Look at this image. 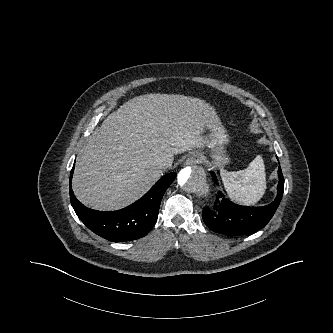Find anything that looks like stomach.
<instances>
[{
  "instance_id": "1",
  "label": "stomach",
  "mask_w": 333,
  "mask_h": 333,
  "mask_svg": "<svg viewBox=\"0 0 333 333\" xmlns=\"http://www.w3.org/2000/svg\"><path fill=\"white\" fill-rule=\"evenodd\" d=\"M228 142L226 130L220 123H217L210 133V156L216 167H223L229 161L228 156L223 151V145Z\"/></svg>"
}]
</instances>
